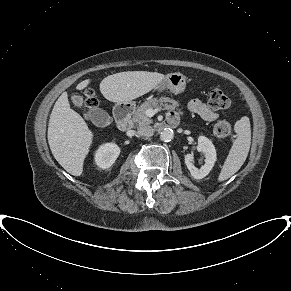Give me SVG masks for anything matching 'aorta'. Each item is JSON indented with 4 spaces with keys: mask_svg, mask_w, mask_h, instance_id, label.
<instances>
[{
    "mask_svg": "<svg viewBox=\"0 0 291 291\" xmlns=\"http://www.w3.org/2000/svg\"><path fill=\"white\" fill-rule=\"evenodd\" d=\"M174 137V132L170 128H165L161 133H160V139L164 142H169L173 139Z\"/></svg>",
    "mask_w": 291,
    "mask_h": 291,
    "instance_id": "1",
    "label": "aorta"
}]
</instances>
